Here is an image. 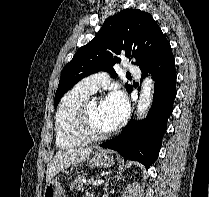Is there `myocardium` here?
<instances>
[{"mask_svg":"<svg viewBox=\"0 0 209 197\" xmlns=\"http://www.w3.org/2000/svg\"><path fill=\"white\" fill-rule=\"evenodd\" d=\"M97 98H88L76 111L73 119V130L76 136L85 142H94L105 139L113 133L114 129L104 132L92 130L89 121V107Z\"/></svg>","mask_w":209,"mask_h":197,"instance_id":"myocardium-1","label":"myocardium"}]
</instances>
